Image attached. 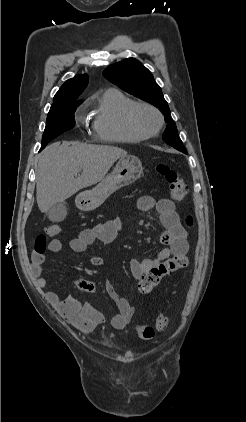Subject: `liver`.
<instances>
[{
    "label": "liver",
    "instance_id": "6515ba94",
    "mask_svg": "<svg viewBox=\"0 0 246 422\" xmlns=\"http://www.w3.org/2000/svg\"><path fill=\"white\" fill-rule=\"evenodd\" d=\"M121 148L79 142H55L39 155L36 199L39 210L47 212L55 204L79 190L101 182L115 161L126 157ZM82 171L79 177L77 173Z\"/></svg>",
    "mask_w": 246,
    "mask_h": 422
}]
</instances>
